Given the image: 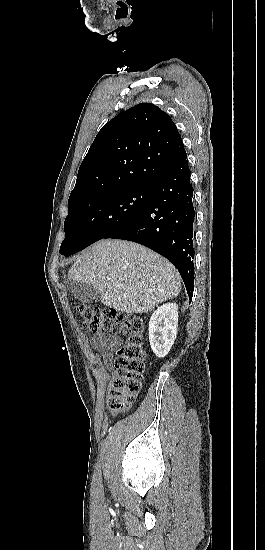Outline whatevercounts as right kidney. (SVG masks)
Wrapping results in <instances>:
<instances>
[{"instance_id": "1", "label": "right kidney", "mask_w": 265, "mask_h": 550, "mask_svg": "<svg viewBox=\"0 0 265 550\" xmlns=\"http://www.w3.org/2000/svg\"><path fill=\"white\" fill-rule=\"evenodd\" d=\"M178 327V306L166 303L158 307L149 321V342L154 354L165 357L174 344Z\"/></svg>"}]
</instances>
